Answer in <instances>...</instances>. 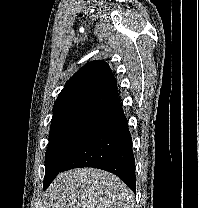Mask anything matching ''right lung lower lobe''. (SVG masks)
I'll return each instance as SVG.
<instances>
[{"instance_id":"obj_1","label":"right lung lower lobe","mask_w":199,"mask_h":208,"mask_svg":"<svg viewBox=\"0 0 199 208\" xmlns=\"http://www.w3.org/2000/svg\"><path fill=\"white\" fill-rule=\"evenodd\" d=\"M78 167L109 171L121 178L136 193L132 138L120 98L100 108L59 172ZM56 175L44 182V188L50 185Z\"/></svg>"}]
</instances>
